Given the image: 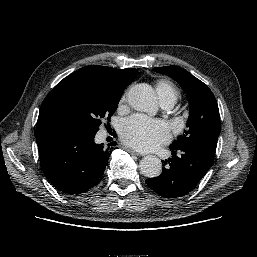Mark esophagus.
<instances>
[{"mask_svg":"<svg viewBox=\"0 0 257 257\" xmlns=\"http://www.w3.org/2000/svg\"><path fill=\"white\" fill-rule=\"evenodd\" d=\"M130 154H132V155H139V153H137L135 150H133V149H131V148H127L126 149Z\"/></svg>","mask_w":257,"mask_h":257,"instance_id":"esophagus-1","label":"esophagus"}]
</instances>
